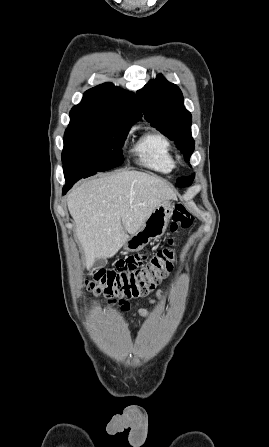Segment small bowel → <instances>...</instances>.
I'll list each match as a JSON object with an SVG mask.
<instances>
[{
	"label": "small bowel",
	"mask_w": 269,
	"mask_h": 447,
	"mask_svg": "<svg viewBox=\"0 0 269 447\" xmlns=\"http://www.w3.org/2000/svg\"><path fill=\"white\" fill-rule=\"evenodd\" d=\"M164 298V293L162 291H159L157 293L156 299H149L150 303H158L159 301H161ZM138 313L144 316H150L152 315V313L144 310V309H138Z\"/></svg>",
	"instance_id": "obj_1"
}]
</instances>
